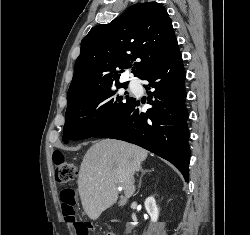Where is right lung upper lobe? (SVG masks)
I'll list each match as a JSON object with an SVG mask.
<instances>
[{
    "mask_svg": "<svg viewBox=\"0 0 250 235\" xmlns=\"http://www.w3.org/2000/svg\"><path fill=\"white\" fill-rule=\"evenodd\" d=\"M176 41L166 9L156 2L132 5L111 23L93 27L81 42L68 103L114 83L127 86L119 83L120 73L136 59L134 76L142 78Z\"/></svg>",
    "mask_w": 250,
    "mask_h": 235,
    "instance_id": "1",
    "label": "right lung upper lobe"
}]
</instances>
